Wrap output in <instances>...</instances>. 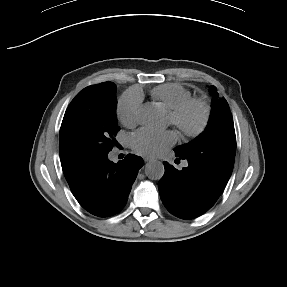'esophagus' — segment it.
Returning a JSON list of instances; mask_svg holds the SVG:
<instances>
[{
  "label": "esophagus",
  "instance_id": "34e87169",
  "mask_svg": "<svg viewBox=\"0 0 287 287\" xmlns=\"http://www.w3.org/2000/svg\"><path fill=\"white\" fill-rule=\"evenodd\" d=\"M144 161H145V162H149V161H151V159L148 158V157H145V158H144Z\"/></svg>",
  "mask_w": 287,
  "mask_h": 287
}]
</instances>
